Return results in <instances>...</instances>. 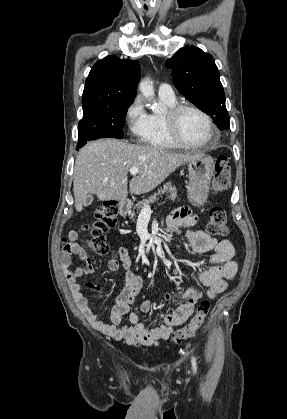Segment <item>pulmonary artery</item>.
<instances>
[{
    "label": "pulmonary artery",
    "mask_w": 287,
    "mask_h": 419,
    "mask_svg": "<svg viewBox=\"0 0 287 419\" xmlns=\"http://www.w3.org/2000/svg\"><path fill=\"white\" fill-rule=\"evenodd\" d=\"M158 95L167 99H174L175 94L172 87L169 84L163 83L159 86Z\"/></svg>",
    "instance_id": "pulmonary-artery-1"
}]
</instances>
